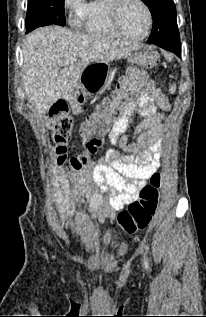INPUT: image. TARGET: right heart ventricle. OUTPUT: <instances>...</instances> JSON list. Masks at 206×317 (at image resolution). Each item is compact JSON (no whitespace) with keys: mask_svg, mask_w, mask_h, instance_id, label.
Masks as SVG:
<instances>
[{"mask_svg":"<svg viewBox=\"0 0 206 317\" xmlns=\"http://www.w3.org/2000/svg\"><path fill=\"white\" fill-rule=\"evenodd\" d=\"M108 3L109 0H90L86 3L81 22L86 32L107 37L118 36L110 24Z\"/></svg>","mask_w":206,"mask_h":317,"instance_id":"1","label":"right heart ventricle"}]
</instances>
